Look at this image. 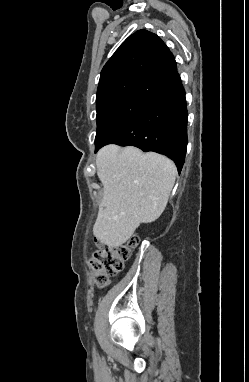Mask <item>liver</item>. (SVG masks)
<instances>
[{
    "instance_id": "6515ba94",
    "label": "liver",
    "mask_w": 249,
    "mask_h": 382,
    "mask_svg": "<svg viewBox=\"0 0 249 382\" xmlns=\"http://www.w3.org/2000/svg\"><path fill=\"white\" fill-rule=\"evenodd\" d=\"M96 167L104 194L93 234L109 248H117L130 239L141 223L160 217L177 169L163 155L117 145H107L98 152Z\"/></svg>"
}]
</instances>
